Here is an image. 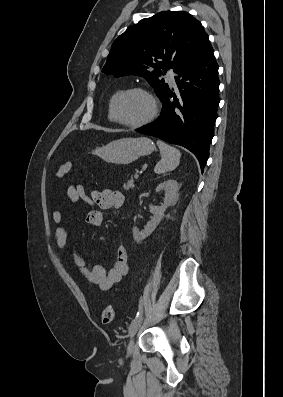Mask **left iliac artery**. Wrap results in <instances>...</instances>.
<instances>
[{
  "instance_id": "44dca946",
  "label": "left iliac artery",
  "mask_w": 283,
  "mask_h": 397,
  "mask_svg": "<svg viewBox=\"0 0 283 397\" xmlns=\"http://www.w3.org/2000/svg\"><path fill=\"white\" fill-rule=\"evenodd\" d=\"M142 312H143V302H142V298H141L140 302H139L138 312H137V315L135 318H137Z\"/></svg>"
}]
</instances>
